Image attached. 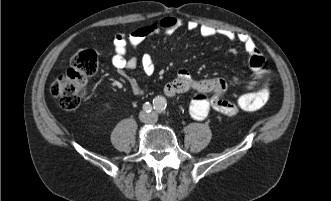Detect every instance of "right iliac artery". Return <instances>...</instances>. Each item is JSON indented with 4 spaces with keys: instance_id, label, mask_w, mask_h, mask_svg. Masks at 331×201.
<instances>
[{
    "instance_id": "obj_1",
    "label": "right iliac artery",
    "mask_w": 331,
    "mask_h": 201,
    "mask_svg": "<svg viewBox=\"0 0 331 201\" xmlns=\"http://www.w3.org/2000/svg\"><path fill=\"white\" fill-rule=\"evenodd\" d=\"M143 109H144V111H146V112H151L152 109H153V107H152V105H151L149 102H146V103L143 105Z\"/></svg>"
}]
</instances>
